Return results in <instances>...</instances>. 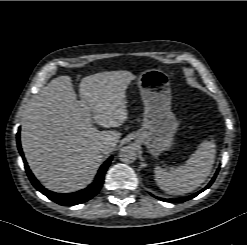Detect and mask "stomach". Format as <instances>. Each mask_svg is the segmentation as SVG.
Listing matches in <instances>:
<instances>
[{"label": "stomach", "mask_w": 247, "mask_h": 245, "mask_svg": "<svg viewBox=\"0 0 247 245\" xmlns=\"http://www.w3.org/2000/svg\"><path fill=\"white\" fill-rule=\"evenodd\" d=\"M137 84L144 104V118L135 138L146 145L151 155L158 156L170 149L178 129L171 110L169 76L160 69L151 68L139 75Z\"/></svg>", "instance_id": "stomach-1"}]
</instances>
